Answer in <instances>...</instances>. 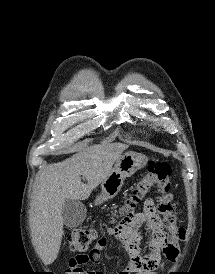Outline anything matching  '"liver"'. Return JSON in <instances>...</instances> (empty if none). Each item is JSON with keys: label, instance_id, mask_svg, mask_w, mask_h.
Segmentation results:
<instances>
[{"label": "liver", "instance_id": "liver-1", "mask_svg": "<svg viewBox=\"0 0 215 274\" xmlns=\"http://www.w3.org/2000/svg\"><path fill=\"white\" fill-rule=\"evenodd\" d=\"M127 148L120 143L91 146L43 170L34 186L30 226L34 246L45 265L53 263L60 250L65 201L88 199Z\"/></svg>", "mask_w": 215, "mask_h": 274}]
</instances>
